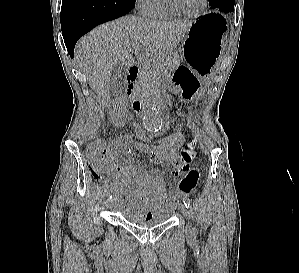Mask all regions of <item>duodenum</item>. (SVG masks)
Here are the masks:
<instances>
[{"instance_id":"obj_1","label":"duodenum","mask_w":299,"mask_h":273,"mask_svg":"<svg viewBox=\"0 0 299 273\" xmlns=\"http://www.w3.org/2000/svg\"><path fill=\"white\" fill-rule=\"evenodd\" d=\"M140 69L137 65L130 68L127 76V97L131 101V105L134 111H139L142 105V100L136 97L135 85L139 76Z\"/></svg>"}]
</instances>
